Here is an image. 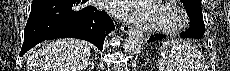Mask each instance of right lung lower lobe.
<instances>
[{"label":"right lung lower lobe","mask_w":230,"mask_h":71,"mask_svg":"<svg viewBox=\"0 0 230 71\" xmlns=\"http://www.w3.org/2000/svg\"><path fill=\"white\" fill-rule=\"evenodd\" d=\"M87 0H33L20 56L36 44L56 38H78L99 50L107 33L114 30L112 19Z\"/></svg>","instance_id":"obj_1"}]
</instances>
